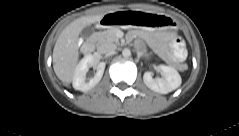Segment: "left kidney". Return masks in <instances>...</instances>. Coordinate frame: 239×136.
I'll return each mask as SVG.
<instances>
[{
  "label": "left kidney",
  "mask_w": 239,
  "mask_h": 136,
  "mask_svg": "<svg viewBox=\"0 0 239 136\" xmlns=\"http://www.w3.org/2000/svg\"><path fill=\"white\" fill-rule=\"evenodd\" d=\"M157 69L163 75L162 78L154 79L152 73L148 71L143 75V81L148 88L161 94H167L181 85V76L175 68L159 65Z\"/></svg>",
  "instance_id": "5707ae66"
}]
</instances>
